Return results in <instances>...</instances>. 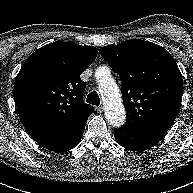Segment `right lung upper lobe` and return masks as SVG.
<instances>
[{
  "instance_id": "1",
  "label": "right lung upper lobe",
  "mask_w": 193,
  "mask_h": 193,
  "mask_svg": "<svg viewBox=\"0 0 193 193\" xmlns=\"http://www.w3.org/2000/svg\"><path fill=\"white\" fill-rule=\"evenodd\" d=\"M97 56L94 46L56 41L35 51L14 84L22 124L34 140L64 133L84 123L94 111L83 101L80 74Z\"/></svg>"
}]
</instances>
